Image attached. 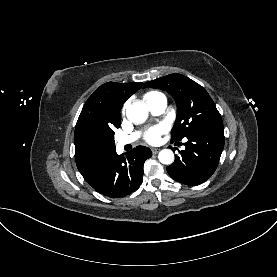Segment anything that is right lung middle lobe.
Segmentation results:
<instances>
[{
    "mask_svg": "<svg viewBox=\"0 0 277 277\" xmlns=\"http://www.w3.org/2000/svg\"><path fill=\"white\" fill-rule=\"evenodd\" d=\"M105 144L107 146L108 151L115 149L114 132H110L105 137Z\"/></svg>",
    "mask_w": 277,
    "mask_h": 277,
    "instance_id": "right-lung-middle-lobe-1",
    "label": "right lung middle lobe"
}]
</instances>
